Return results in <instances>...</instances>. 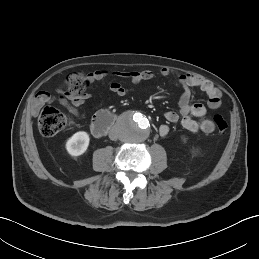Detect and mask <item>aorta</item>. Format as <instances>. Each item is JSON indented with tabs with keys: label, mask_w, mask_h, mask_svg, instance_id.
<instances>
[{
	"label": "aorta",
	"mask_w": 259,
	"mask_h": 259,
	"mask_svg": "<svg viewBox=\"0 0 259 259\" xmlns=\"http://www.w3.org/2000/svg\"><path fill=\"white\" fill-rule=\"evenodd\" d=\"M117 129L123 141L141 143L149 137L150 122L143 114L131 112L121 117Z\"/></svg>",
	"instance_id": "762f6f07"
}]
</instances>
